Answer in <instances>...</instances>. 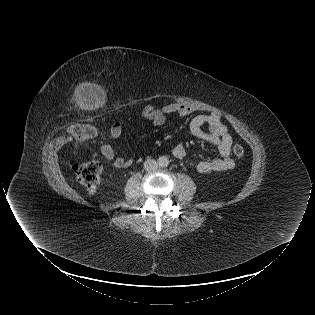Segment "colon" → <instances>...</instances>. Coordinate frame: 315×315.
Instances as JSON below:
<instances>
[{
	"mask_svg": "<svg viewBox=\"0 0 315 315\" xmlns=\"http://www.w3.org/2000/svg\"><path fill=\"white\" fill-rule=\"evenodd\" d=\"M70 134L76 144H81L94 139L97 136V131L90 126L75 125L70 129ZM232 151L237 158H242L245 153L243 146L239 144H235ZM74 171L78 181L87 192L94 193L97 191L100 185L102 166L96 159V154L91 155L83 162L76 163Z\"/></svg>",
	"mask_w": 315,
	"mask_h": 315,
	"instance_id": "obj_1",
	"label": "colon"
}]
</instances>
